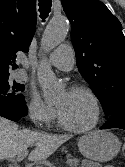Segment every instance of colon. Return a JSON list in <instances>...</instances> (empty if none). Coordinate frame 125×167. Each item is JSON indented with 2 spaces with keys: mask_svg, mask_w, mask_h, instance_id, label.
<instances>
[{
  "mask_svg": "<svg viewBox=\"0 0 125 167\" xmlns=\"http://www.w3.org/2000/svg\"><path fill=\"white\" fill-rule=\"evenodd\" d=\"M123 153H124V155H125V143L123 144Z\"/></svg>",
  "mask_w": 125,
  "mask_h": 167,
  "instance_id": "1",
  "label": "colon"
}]
</instances>
